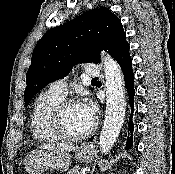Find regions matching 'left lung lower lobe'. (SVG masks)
I'll return each mask as SVG.
<instances>
[{
    "mask_svg": "<svg viewBox=\"0 0 175 174\" xmlns=\"http://www.w3.org/2000/svg\"><path fill=\"white\" fill-rule=\"evenodd\" d=\"M116 61L120 65L125 79L126 88L128 91L129 96V102L131 106V115L130 119L133 117V111H134V73L132 70V59L129 53V45L125 46L124 49L120 52V54L117 56ZM133 123L130 121L129 123V131L131 134L133 133ZM93 139V137L91 138ZM133 145V138L130 137L127 140L126 148H130Z\"/></svg>",
    "mask_w": 175,
    "mask_h": 174,
    "instance_id": "obj_1",
    "label": "left lung lower lobe"
}]
</instances>
